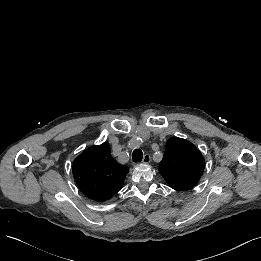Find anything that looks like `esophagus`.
I'll list each match as a JSON object with an SVG mask.
<instances>
[{
    "label": "esophagus",
    "instance_id": "obj_1",
    "mask_svg": "<svg viewBox=\"0 0 261 261\" xmlns=\"http://www.w3.org/2000/svg\"><path fill=\"white\" fill-rule=\"evenodd\" d=\"M150 161H151L150 155L145 154L144 157H143V161H142V162H143L144 164H148V163H150Z\"/></svg>",
    "mask_w": 261,
    "mask_h": 261
}]
</instances>
